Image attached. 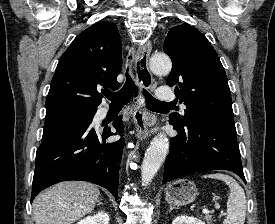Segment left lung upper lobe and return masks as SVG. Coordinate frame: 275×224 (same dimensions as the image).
<instances>
[{
	"instance_id": "5c2ea615",
	"label": "left lung upper lobe",
	"mask_w": 275,
	"mask_h": 224,
	"mask_svg": "<svg viewBox=\"0 0 275 224\" xmlns=\"http://www.w3.org/2000/svg\"><path fill=\"white\" fill-rule=\"evenodd\" d=\"M164 52L172 60L167 85L186 106L184 115L170 120L186 126L196 120L235 125L232 100L224 68L206 37L191 25L172 27L165 39Z\"/></svg>"
}]
</instances>
